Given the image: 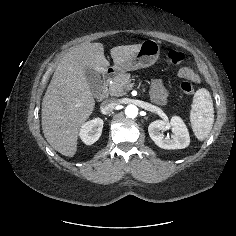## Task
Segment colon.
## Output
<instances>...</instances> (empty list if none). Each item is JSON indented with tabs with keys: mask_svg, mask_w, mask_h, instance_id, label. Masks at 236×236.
Here are the masks:
<instances>
[{
	"mask_svg": "<svg viewBox=\"0 0 236 236\" xmlns=\"http://www.w3.org/2000/svg\"><path fill=\"white\" fill-rule=\"evenodd\" d=\"M185 59L184 54L179 50H170L168 52V60L175 65L181 64ZM181 90L186 95H192L194 93L193 84L189 80H184L181 85Z\"/></svg>",
	"mask_w": 236,
	"mask_h": 236,
	"instance_id": "obj_1",
	"label": "colon"
}]
</instances>
